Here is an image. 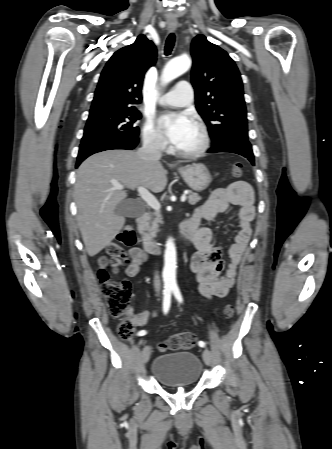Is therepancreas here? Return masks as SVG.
<instances>
[{"label":"pancreas","mask_w":332,"mask_h":449,"mask_svg":"<svg viewBox=\"0 0 332 449\" xmlns=\"http://www.w3.org/2000/svg\"><path fill=\"white\" fill-rule=\"evenodd\" d=\"M200 200L201 197L197 193L190 192L188 196L189 204L195 205ZM159 223H162V216L159 213H153L148 221L141 224L140 230L145 231L151 237H155L159 230Z\"/></svg>","instance_id":"pancreas-1"}]
</instances>
